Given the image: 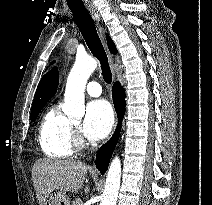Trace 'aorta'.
<instances>
[{
    "instance_id": "762f6f07",
    "label": "aorta",
    "mask_w": 212,
    "mask_h": 205,
    "mask_svg": "<svg viewBox=\"0 0 212 205\" xmlns=\"http://www.w3.org/2000/svg\"><path fill=\"white\" fill-rule=\"evenodd\" d=\"M97 68V60L78 56L67 79L62 107L64 113L81 117L84 113V91L88 78ZM121 181V161L116 156L108 168L105 188L100 205H116Z\"/></svg>"
}]
</instances>
